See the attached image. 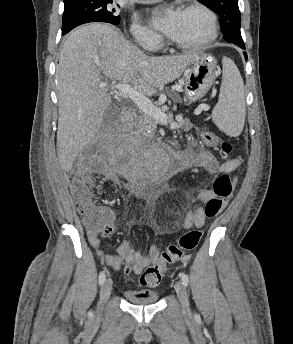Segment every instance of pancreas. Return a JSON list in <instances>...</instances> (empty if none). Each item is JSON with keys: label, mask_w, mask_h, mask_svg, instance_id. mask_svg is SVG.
<instances>
[{"label": "pancreas", "mask_w": 293, "mask_h": 344, "mask_svg": "<svg viewBox=\"0 0 293 344\" xmlns=\"http://www.w3.org/2000/svg\"><path fill=\"white\" fill-rule=\"evenodd\" d=\"M170 97H172V99H174V100H180V97L177 94H175V95L170 94ZM157 124H158V121L156 119H154L153 117L144 113V114H141L139 116L136 128H137L138 132L144 133V132H147L148 130L153 131L156 128ZM190 125L191 124L188 120H182L179 122V126L181 128L186 129Z\"/></svg>", "instance_id": "pancreas-1"}]
</instances>
